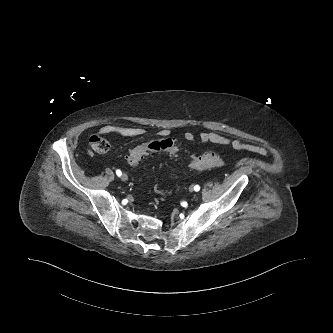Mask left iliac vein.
<instances>
[{
  "label": "left iliac vein",
  "mask_w": 333,
  "mask_h": 333,
  "mask_svg": "<svg viewBox=\"0 0 333 333\" xmlns=\"http://www.w3.org/2000/svg\"><path fill=\"white\" fill-rule=\"evenodd\" d=\"M193 190H194V187H193V186H190V187H189V191H190V192H193Z\"/></svg>",
  "instance_id": "obj_1"
}]
</instances>
